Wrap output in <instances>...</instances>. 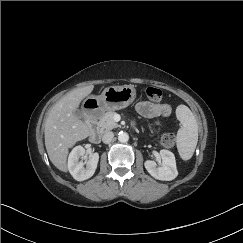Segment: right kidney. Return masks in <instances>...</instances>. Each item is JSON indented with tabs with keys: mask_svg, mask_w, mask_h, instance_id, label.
Returning <instances> with one entry per match:
<instances>
[{
	"mask_svg": "<svg viewBox=\"0 0 243 243\" xmlns=\"http://www.w3.org/2000/svg\"><path fill=\"white\" fill-rule=\"evenodd\" d=\"M85 154L82 146H76L72 149L68 157V170L77 181H84L93 176L99 161V154L94 153L88 161H79V158ZM86 164V168L84 165Z\"/></svg>",
	"mask_w": 243,
	"mask_h": 243,
	"instance_id": "right-kidney-1",
	"label": "right kidney"
}]
</instances>
